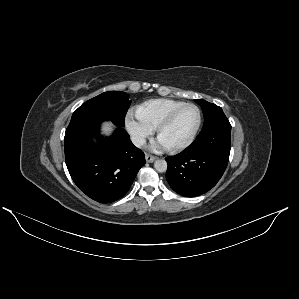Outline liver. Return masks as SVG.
Masks as SVG:
<instances>
[{
    "label": "liver",
    "instance_id": "1",
    "mask_svg": "<svg viewBox=\"0 0 299 299\" xmlns=\"http://www.w3.org/2000/svg\"><path fill=\"white\" fill-rule=\"evenodd\" d=\"M102 133L105 135H110L113 131V124L110 121H105L101 125Z\"/></svg>",
    "mask_w": 299,
    "mask_h": 299
}]
</instances>
